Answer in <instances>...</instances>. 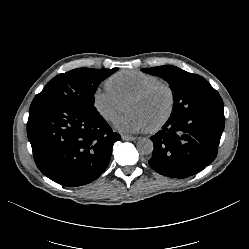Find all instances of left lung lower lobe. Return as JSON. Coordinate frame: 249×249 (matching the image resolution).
I'll use <instances>...</instances> for the list:
<instances>
[{
    "instance_id": "obj_1",
    "label": "left lung lower lobe",
    "mask_w": 249,
    "mask_h": 249,
    "mask_svg": "<svg viewBox=\"0 0 249 249\" xmlns=\"http://www.w3.org/2000/svg\"><path fill=\"white\" fill-rule=\"evenodd\" d=\"M224 124L223 108L169 118L150 138L154 144L148 161L150 167L171 178H186L200 172L217 156Z\"/></svg>"
}]
</instances>
